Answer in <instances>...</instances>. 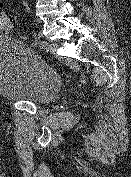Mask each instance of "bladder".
<instances>
[{"label": "bladder", "mask_w": 131, "mask_h": 177, "mask_svg": "<svg viewBox=\"0 0 131 177\" xmlns=\"http://www.w3.org/2000/svg\"><path fill=\"white\" fill-rule=\"evenodd\" d=\"M60 76L14 38L0 41V96L34 105L48 103L60 90Z\"/></svg>", "instance_id": "obj_1"}]
</instances>
